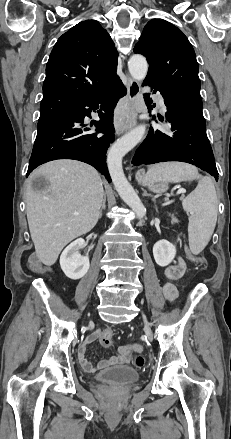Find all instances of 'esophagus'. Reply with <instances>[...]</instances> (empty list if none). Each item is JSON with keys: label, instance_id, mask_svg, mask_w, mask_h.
<instances>
[{"label": "esophagus", "instance_id": "34e87169", "mask_svg": "<svg viewBox=\"0 0 231 439\" xmlns=\"http://www.w3.org/2000/svg\"><path fill=\"white\" fill-rule=\"evenodd\" d=\"M127 89L128 108L125 117L122 120L115 122L117 135L123 134L137 124V104L141 100L140 85L136 80L128 77Z\"/></svg>", "mask_w": 231, "mask_h": 439}]
</instances>
